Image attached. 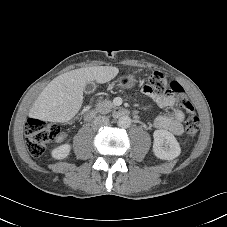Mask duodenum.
<instances>
[{"instance_id": "obj_1", "label": "duodenum", "mask_w": 227, "mask_h": 227, "mask_svg": "<svg viewBox=\"0 0 227 227\" xmlns=\"http://www.w3.org/2000/svg\"><path fill=\"white\" fill-rule=\"evenodd\" d=\"M111 113L114 117L128 116L131 114L130 110H128L127 108H124V107H115L112 109ZM95 116H96V112L93 109L89 108L86 110L85 118L87 120H89V121L93 120L95 118Z\"/></svg>"}]
</instances>
